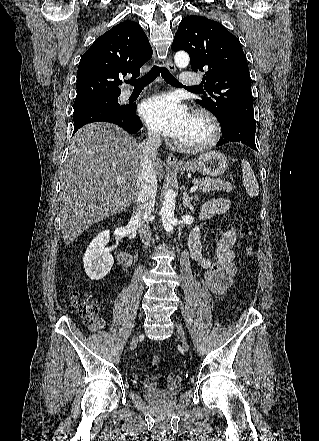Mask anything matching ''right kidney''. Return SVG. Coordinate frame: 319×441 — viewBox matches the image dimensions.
<instances>
[{"instance_id": "obj_1", "label": "right kidney", "mask_w": 319, "mask_h": 441, "mask_svg": "<svg viewBox=\"0 0 319 441\" xmlns=\"http://www.w3.org/2000/svg\"><path fill=\"white\" fill-rule=\"evenodd\" d=\"M110 239V231L100 232L89 244L83 257L87 276L94 281L102 279L113 266V256L106 252L105 247Z\"/></svg>"}]
</instances>
